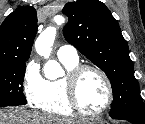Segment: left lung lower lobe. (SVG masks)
Segmentation results:
<instances>
[{
  "mask_svg": "<svg viewBox=\"0 0 145 124\" xmlns=\"http://www.w3.org/2000/svg\"><path fill=\"white\" fill-rule=\"evenodd\" d=\"M132 124H145V122H139V121H135V120H130V119H124Z\"/></svg>",
  "mask_w": 145,
  "mask_h": 124,
  "instance_id": "left-lung-lower-lobe-1",
  "label": "left lung lower lobe"
}]
</instances>
